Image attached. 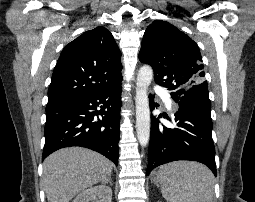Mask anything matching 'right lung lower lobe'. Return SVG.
Masks as SVG:
<instances>
[{
	"label": "right lung lower lobe",
	"mask_w": 255,
	"mask_h": 202,
	"mask_svg": "<svg viewBox=\"0 0 255 202\" xmlns=\"http://www.w3.org/2000/svg\"><path fill=\"white\" fill-rule=\"evenodd\" d=\"M120 95L121 82L107 90L48 103L42 159L60 148L81 146L117 165Z\"/></svg>",
	"instance_id": "1"
}]
</instances>
